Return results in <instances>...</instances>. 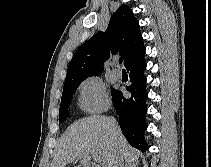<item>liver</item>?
<instances>
[{
    "label": "liver",
    "instance_id": "liver-1",
    "mask_svg": "<svg viewBox=\"0 0 211 167\" xmlns=\"http://www.w3.org/2000/svg\"><path fill=\"white\" fill-rule=\"evenodd\" d=\"M93 153L101 157L103 167H113L118 157L122 163L124 160L132 163L140 155L129 146L118 126L115 131L112 130L111 118L97 115L78 120L66 130L56 147L50 167H66L76 159L86 164Z\"/></svg>",
    "mask_w": 211,
    "mask_h": 167
}]
</instances>
